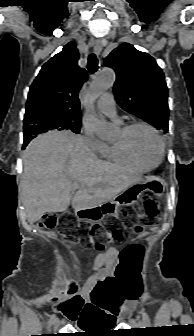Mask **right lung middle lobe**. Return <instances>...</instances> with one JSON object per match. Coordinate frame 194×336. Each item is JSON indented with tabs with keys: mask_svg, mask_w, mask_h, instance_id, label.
I'll use <instances>...</instances> for the list:
<instances>
[{
	"mask_svg": "<svg viewBox=\"0 0 194 336\" xmlns=\"http://www.w3.org/2000/svg\"><path fill=\"white\" fill-rule=\"evenodd\" d=\"M81 122H71L65 120L40 119L32 122L30 125L24 124V137L32 133H45L49 130H64L68 129L74 133L80 132Z\"/></svg>",
	"mask_w": 194,
	"mask_h": 336,
	"instance_id": "dd1d6c3e",
	"label": "right lung middle lobe"
}]
</instances>
